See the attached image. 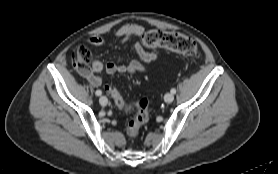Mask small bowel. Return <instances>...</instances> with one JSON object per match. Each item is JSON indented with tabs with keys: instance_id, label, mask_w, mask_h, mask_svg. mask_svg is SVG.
I'll return each instance as SVG.
<instances>
[{
	"instance_id": "obj_1",
	"label": "small bowel",
	"mask_w": 278,
	"mask_h": 174,
	"mask_svg": "<svg viewBox=\"0 0 278 174\" xmlns=\"http://www.w3.org/2000/svg\"><path fill=\"white\" fill-rule=\"evenodd\" d=\"M144 34V27L137 23H129L121 26L116 32L115 36L121 42H127L132 37H139ZM106 39L103 36H93L88 39V44L93 47H98L105 44ZM132 51L138 57V60H132L129 64L108 62L103 64L100 60L93 61L91 66H76L77 72L87 79L93 87H99L102 84L101 74L105 71L108 74L115 73H130L135 74L144 72L146 70V63L153 62L157 59L155 52L146 51L143 46L136 42L132 45Z\"/></svg>"
}]
</instances>
